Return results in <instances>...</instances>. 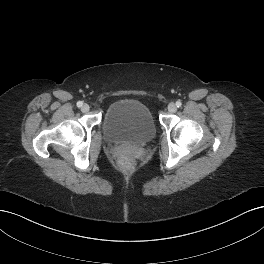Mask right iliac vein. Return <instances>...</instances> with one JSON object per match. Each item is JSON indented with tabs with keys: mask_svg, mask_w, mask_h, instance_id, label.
Segmentation results:
<instances>
[{
	"mask_svg": "<svg viewBox=\"0 0 264 264\" xmlns=\"http://www.w3.org/2000/svg\"><path fill=\"white\" fill-rule=\"evenodd\" d=\"M89 109H90L89 105L88 104H84L82 106V108H81V111L84 112V113H86V112L89 111Z\"/></svg>",
	"mask_w": 264,
	"mask_h": 264,
	"instance_id": "63e3f726",
	"label": "right iliac vein"
}]
</instances>
